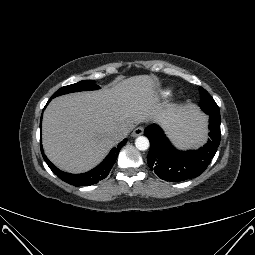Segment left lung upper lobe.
I'll use <instances>...</instances> for the list:
<instances>
[{"mask_svg":"<svg viewBox=\"0 0 255 255\" xmlns=\"http://www.w3.org/2000/svg\"><path fill=\"white\" fill-rule=\"evenodd\" d=\"M200 91V107L201 109L207 113V110H211L213 113H219V107L217 106L216 102L213 100V98L208 94V92L200 87L199 88ZM208 107V109H207Z\"/></svg>","mask_w":255,"mask_h":255,"instance_id":"left-lung-upper-lobe-1","label":"left lung upper lobe"}]
</instances>
